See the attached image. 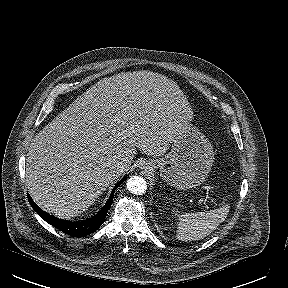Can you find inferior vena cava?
Segmentation results:
<instances>
[{
    "instance_id": "obj_1",
    "label": "inferior vena cava",
    "mask_w": 288,
    "mask_h": 288,
    "mask_svg": "<svg viewBox=\"0 0 288 288\" xmlns=\"http://www.w3.org/2000/svg\"><path fill=\"white\" fill-rule=\"evenodd\" d=\"M125 169H126V164H124L122 162H116V163L111 164L109 166L108 175L110 177L116 176V175L122 173Z\"/></svg>"
}]
</instances>
